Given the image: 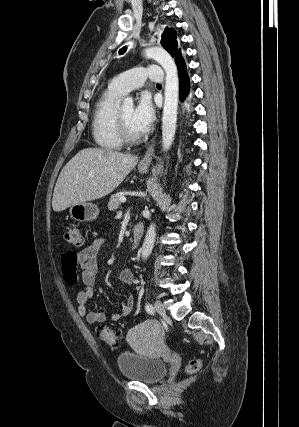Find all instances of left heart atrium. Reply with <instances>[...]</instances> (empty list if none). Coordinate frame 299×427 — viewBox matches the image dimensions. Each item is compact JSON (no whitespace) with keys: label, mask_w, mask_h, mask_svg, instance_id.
<instances>
[{"label":"left heart atrium","mask_w":299,"mask_h":427,"mask_svg":"<svg viewBox=\"0 0 299 427\" xmlns=\"http://www.w3.org/2000/svg\"><path fill=\"white\" fill-rule=\"evenodd\" d=\"M155 119V112L151 101L148 97L140 98L138 104L133 109V123L141 132L148 131Z\"/></svg>","instance_id":"obj_1"}]
</instances>
